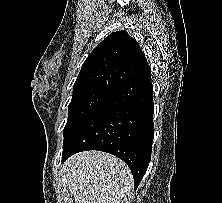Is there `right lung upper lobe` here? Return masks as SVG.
<instances>
[{
    "label": "right lung upper lobe",
    "mask_w": 222,
    "mask_h": 203,
    "mask_svg": "<svg viewBox=\"0 0 222 203\" xmlns=\"http://www.w3.org/2000/svg\"><path fill=\"white\" fill-rule=\"evenodd\" d=\"M148 67L138 42L126 31L113 32L89 54L73 91L96 88L115 92Z\"/></svg>",
    "instance_id": "obj_1"
}]
</instances>
